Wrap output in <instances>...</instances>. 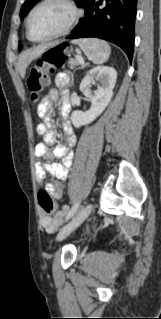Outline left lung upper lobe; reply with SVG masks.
Here are the masks:
<instances>
[{
	"label": "left lung upper lobe",
	"instance_id": "left-lung-upper-lobe-1",
	"mask_svg": "<svg viewBox=\"0 0 161 319\" xmlns=\"http://www.w3.org/2000/svg\"><path fill=\"white\" fill-rule=\"evenodd\" d=\"M40 0H25L24 4L21 7L20 18L23 19L30 9ZM77 6L83 7L86 9L89 0H74ZM19 49H21V44L19 45Z\"/></svg>",
	"mask_w": 161,
	"mask_h": 319
}]
</instances>
